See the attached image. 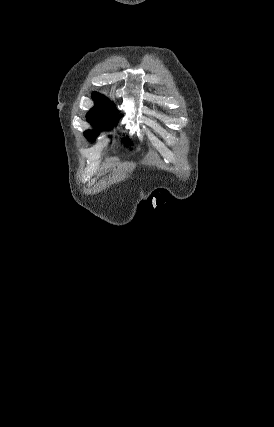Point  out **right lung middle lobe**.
Instances as JSON below:
<instances>
[{
	"mask_svg": "<svg viewBox=\"0 0 274 427\" xmlns=\"http://www.w3.org/2000/svg\"><path fill=\"white\" fill-rule=\"evenodd\" d=\"M121 115H103V116H95V117H89L88 122L101 126L103 129H108L113 127V125L117 122V119L120 118ZM86 138L89 140H94L98 136L97 131H86L85 132ZM130 144V142H128Z\"/></svg>",
	"mask_w": 274,
	"mask_h": 427,
	"instance_id": "dd1d6c3e",
	"label": "right lung middle lobe"
}]
</instances>
